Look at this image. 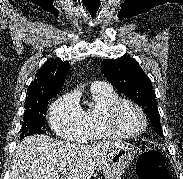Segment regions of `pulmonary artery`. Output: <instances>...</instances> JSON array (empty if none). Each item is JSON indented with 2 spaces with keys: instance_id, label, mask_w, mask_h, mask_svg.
Here are the masks:
<instances>
[{
  "instance_id": "obj_1",
  "label": "pulmonary artery",
  "mask_w": 183,
  "mask_h": 179,
  "mask_svg": "<svg viewBox=\"0 0 183 179\" xmlns=\"http://www.w3.org/2000/svg\"><path fill=\"white\" fill-rule=\"evenodd\" d=\"M108 88H110V86L105 82L95 81L92 83V89H108Z\"/></svg>"
}]
</instances>
